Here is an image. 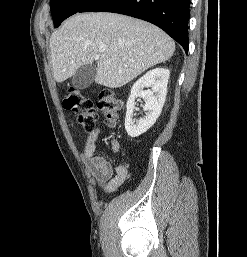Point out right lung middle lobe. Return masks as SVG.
Here are the masks:
<instances>
[{"instance_id": "1", "label": "right lung middle lobe", "mask_w": 247, "mask_h": 257, "mask_svg": "<svg viewBox=\"0 0 247 257\" xmlns=\"http://www.w3.org/2000/svg\"><path fill=\"white\" fill-rule=\"evenodd\" d=\"M90 1L91 0H51L50 8L54 27H59L63 20L77 13Z\"/></svg>"}]
</instances>
